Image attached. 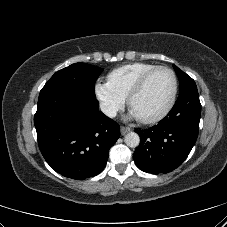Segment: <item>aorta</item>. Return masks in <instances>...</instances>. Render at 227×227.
Masks as SVG:
<instances>
[{"label":"aorta","mask_w":227,"mask_h":227,"mask_svg":"<svg viewBox=\"0 0 227 227\" xmlns=\"http://www.w3.org/2000/svg\"><path fill=\"white\" fill-rule=\"evenodd\" d=\"M124 142L127 146H129L131 148H135L140 143L139 135L135 132H129L126 134V136L124 138Z\"/></svg>","instance_id":"1"}]
</instances>
